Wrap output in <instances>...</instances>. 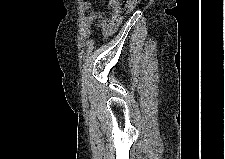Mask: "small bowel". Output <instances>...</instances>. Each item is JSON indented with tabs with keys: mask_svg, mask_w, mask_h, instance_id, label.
I'll return each mask as SVG.
<instances>
[{
	"mask_svg": "<svg viewBox=\"0 0 225 159\" xmlns=\"http://www.w3.org/2000/svg\"><path fill=\"white\" fill-rule=\"evenodd\" d=\"M82 9L87 12L81 22V35L83 39L87 40L90 38L91 27L94 23H96L102 29L104 37H107L111 34V27L106 24L102 14L97 11L89 2H83Z\"/></svg>",
	"mask_w": 225,
	"mask_h": 159,
	"instance_id": "c3829d8e",
	"label": "small bowel"
}]
</instances>
